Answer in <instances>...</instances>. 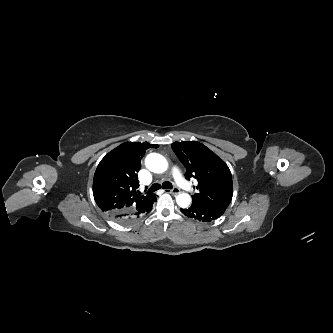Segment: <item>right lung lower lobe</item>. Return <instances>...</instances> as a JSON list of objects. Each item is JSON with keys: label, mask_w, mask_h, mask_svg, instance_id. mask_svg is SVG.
<instances>
[{"label": "right lung lower lobe", "mask_w": 333, "mask_h": 333, "mask_svg": "<svg viewBox=\"0 0 333 333\" xmlns=\"http://www.w3.org/2000/svg\"><path fill=\"white\" fill-rule=\"evenodd\" d=\"M156 197L149 202L148 204H145L135 210L131 211H117L114 213H107L113 220L117 222H132L137 219H139L143 214L148 213L152 209L153 203L156 201Z\"/></svg>", "instance_id": "obj_1"}]
</instances>
